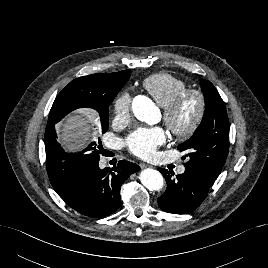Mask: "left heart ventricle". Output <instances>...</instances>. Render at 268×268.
Segmentation results:
<instances>
[{"label": "left heart ventricle", "mask_w": 268, "mask_h": 268, "mask_svg": "<svg viewBox=\"0 0 268 268\" xmlns=\"http://www.w3.org/2000/svg\"><path fill=\"white\" fill-rule=\"evenodd\" d=\"M197 109V100L195 97H188L182 104L177 121L181 127H185L192 120Z\"/></svg>", "instance_id": "left-heart-ventricle-1"}]
</instances>
